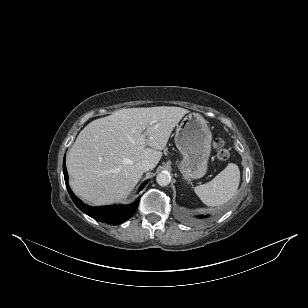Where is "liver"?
Returning <instances> with one entry per match:
<instances>
[{
  "instance_id": "6515ba94",
  "label": "liver",
  "mask_w": 308,
  "mask_h": 308,
  "mask_svg": "<svg viewBox=\"0 0 308 308\" xmlns=\"http://www.w3.org/2000/svg\"><path fill=\"white\" fill-rule=\"evenodd\" d=\"M187 113L181 107L128 108L89 123L66 160L73 192L95 206L125 199L143 174L136 164L146 159L155 168Z\"/></svg>"
}]
</instances>
